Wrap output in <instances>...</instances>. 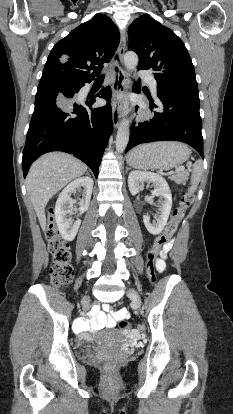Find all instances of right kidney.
Masks as SVG:
<instances>
[{"mask_svg":"<svg viewBox=\"0 0 233 414\" xmlns=\"http://www.w3.org/2000/svg\"><path fill=\"white\" fill-rule=\"evenodd\" d=\"M81 187L84 189L83 198L79 203V212L80 214L86 212L89 207L93 189V180L88 176L80 177L68 184L60 193L55 205V220L61 236L67 241L74 240L81 224L80 219L73 222L70 217L72 214V206L75 202L71 198V194Z\"/></svg>","mask_w":233,"mask_h":414,"instance_id":"right-kidney-1","label":"right kidney"}]
</instances>
